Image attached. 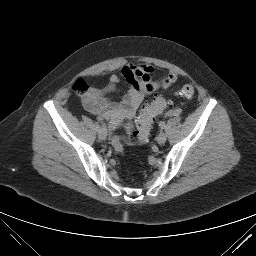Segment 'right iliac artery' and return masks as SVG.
<instances>
[{
	"label": "right iliac artery",
	"mask_w": 256,
	"mask_h": 256,
	"mask_svg": "<svg viewBox=\"0 0 256 256\" xmlns=\"http://www.w3.org/2000/svg\"><path fill=\"white\" fill-rule=\"evenodd\" d=\"M94 128H95L96 131L102 130V128L100 127L99 123H97V122L94 123Z\"/></svg>",
	"instance_id": "82829eb1"
}]
</instances>
